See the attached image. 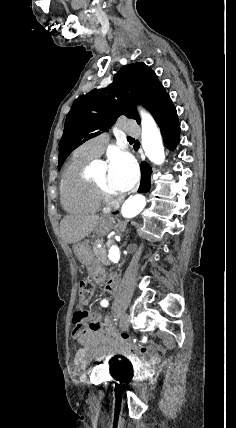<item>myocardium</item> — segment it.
<instances>
[{
	"instance_id": "obj_1",
	"label": "myocardium",
	"mask_w": 236,
	"mask_h": 428,
	"mask_svg": "<svg viewBox=\"0 0 236 428\" xmlns=\"http://www.w3.org/2000/svg\"><path fill=\"white\" fill-rule=\"evenodd\" d=\"M92 182L96 191V194L98 196V199L102 204H114L119 203L123 200V195L120 194L118 196H115L111 194L108 189L103 185L102 183L98 182L94 178H92Z\"/></svg>"
}]
</instances>
